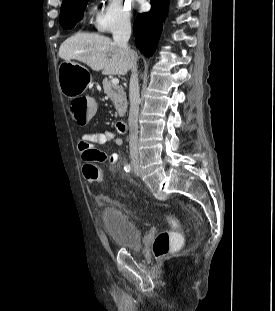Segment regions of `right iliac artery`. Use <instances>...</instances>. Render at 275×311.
Segmentation results:
<instances>
[{
  "label": "right iliac artery",
  "mask_w": 275,
  "mask_h": 311,
  "mask_svg": "<svg viewBox=\"0 0 275 311\" xmlns=\"http://www.w3.org/2000/svg\"><path fill=\"white\" fill-rule=\"evenodd\" d=\"M124 170L126 172H130L131 171V165L130 164H127L125 167H124Z\"/></svg>",
  "instance_id": "obj_1"
}]
</instances>
